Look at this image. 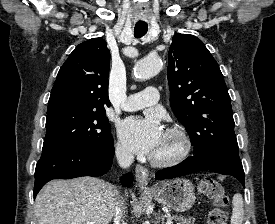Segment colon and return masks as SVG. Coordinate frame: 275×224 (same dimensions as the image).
<instances>
[{
    "label": "colon",
    "mask_w": 275,
    "mask_h": 224,
    "mask_svg": "<svg viewBox=\"0 0 275 224\" xmlns=\"http://www.w3.org/2000/svg\"><path fill=\"white\" fill-rule=\"evenodd\" d=\"M200 195L211 199L215 208L209 213L208 224H227L225 207L228 204V196L223 186L212 178H205L197 185Z\"/></svg>",
    "instance_id": "1"
}]
</instances>
